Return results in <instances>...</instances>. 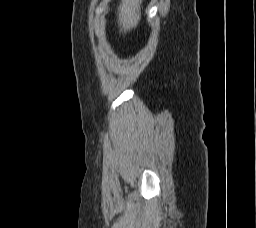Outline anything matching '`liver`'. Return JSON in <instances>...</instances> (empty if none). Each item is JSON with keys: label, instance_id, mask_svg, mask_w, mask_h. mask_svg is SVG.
Wrapping results in <instances>:
<instances>
[{"label": "liver", "instance_id": "1", "mask_svg": "<svg viewBox=\"0 0 256 228\" xmlns=\"http://www.w3.org/2000/svg\"><path fill=\"white\" fill-rule=\"evenodd\" d=\"M142 0H122L118 7V24L120 32L135 28L140 20V5Z\"/></svg>", "mask_w": 256, "mask_h": 228}]
</instances>
